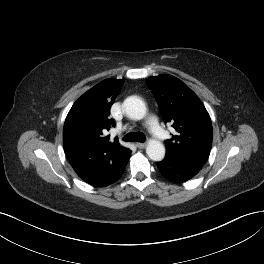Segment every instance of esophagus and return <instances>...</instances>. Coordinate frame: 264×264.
I'll list each match as a JSON object with an SVG mask.
<instances>
[{
    "instance_id": "34e87169",
    "label": "esophagus",
    "mask_w": 264,
    "mask_h": 264,
    "mask_svg": "<svg viewBox=\"0 0 264 264\" xmlns=\"http://www.w3.org/2000/svg\"><path fill=\"white\" fill-rule=\"evenodd\" d=\"M136 146H137L139 149H143V148H145L146 143L137 142V143H136Z\"/></svg>"
}]
</instances>
